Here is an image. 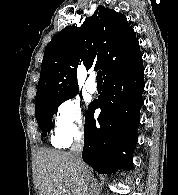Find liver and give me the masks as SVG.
Returning a JSON list of instances; mask_svg holds the SVG:
<instances>
[{"label": "liver", "mask_w": 178, "mask_h": 195, "mask_svg": "<svg viewBox=\"0 0 178 195\" xmlns=\"http://www.w3.org/2000/svg\"><path fill=\"white\" fill-rule=\"evenodd\" d=\"M86 173L78 168L74 155L52 149L37 153V185L39 195H92V170L85 165Z\"/></svg>", "instance_id": "liver-1"}]
</instances>
